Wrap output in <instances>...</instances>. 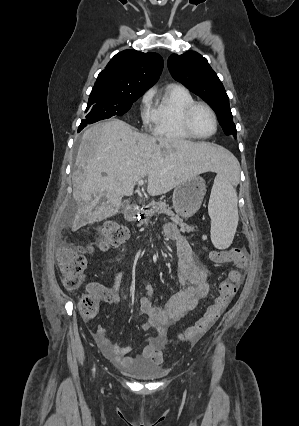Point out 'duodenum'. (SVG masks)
Segmentation results:
<instances>
[{"label": "duodenum", "instance_id": "410a0bca", "mask_svg": "<svg viewBox=\"0 0 299 426\" xmlns=\"http://www.w3.org/2000/svg\"><path fill=\"white\" fill-rule=\"evenodd\" d=\"M138 212H139L138 206H131L126 210L125 217L127 220L132 221L136 218V216L138 215Z\"/></svg>", "mask_w": 299, "mask_h": 426}]
</instances>
